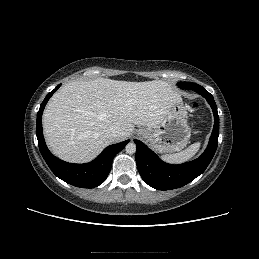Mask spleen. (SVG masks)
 <instances>
[{"mask_svg": "<svg viewBox=\"0 0 259 259\" xmlns=\"http://www.w3.org/2000/svg\"><path fill=\"white\" fill-rule=\"evenodd\" d=\"M200 146H201V143L196 142L179 153L165 154V155H162L161 158L168 163H173V164L183 163L192 159L199 151Z\"/></svg>", "mask_w": 259, "mask_h": 259, "instance_id": "3e777b00", "label": "spleen"}]
</instances>
